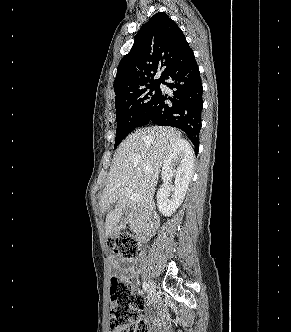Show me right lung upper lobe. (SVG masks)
<instances>
[{"label": "right lung upper lobe", "instance_id": "cb5924a9", "mask_svg": "<svg viewBox=\"0 0 291 332\" xmlns=\"http://www.w3.org/2000/svg\"><path fill=\"white\" fill-rule=\"evenodd\" d=\"M194 54L178 25L164 12L143 24L131 51L120 61L114 81L115 100L155 82L163 81ZM162 70L158 80L156 73Z\"/></svg>", "mask_w": 291, "mask_h": 332}]
</instances>
